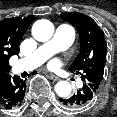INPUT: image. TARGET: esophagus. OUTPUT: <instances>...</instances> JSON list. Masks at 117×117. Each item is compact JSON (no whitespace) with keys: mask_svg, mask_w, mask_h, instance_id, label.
Wrapping results in <instances>:
<instances>
[{"mask_svg":"<svg viewBox=\"0 0 117 117\" xmlns=\"http://www.w3.org/2000/svg\"><path fill=\"white\" fill-rule=\"evenodd\" d=\"M49 78L51 80H53V81H58L59 80V78L57 76L53 75V74H49Z\"/></svg>","mask_w":117,"mask_h":117,"instance_id":"esophagus-1","label":"esophagus"}]
</instances>
